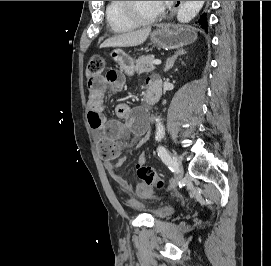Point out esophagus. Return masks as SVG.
<instances>
[{"mask_svg":"<svg viewBox=\"0 0 271 266\" xmlns=\"http://www.w3.org/2000/svg\"><path fill=\"white\" fill-rule=\"evenodd\" d=\"M184 3V1H175L174 7L171 12V18L175 15V13L178 11V9L181 7V5Z\"/></svg>","mask_w":271,"mask_h":266,"instance_id":"34e87169","label":"esophagus"}]
</instances>
